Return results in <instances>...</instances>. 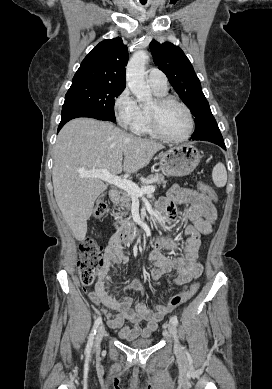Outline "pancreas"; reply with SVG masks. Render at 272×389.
I'll return each mask as SVG.
<instances>
[{
	"mask_svg": "<svg viewBox=\"0 0 272 389\" xmlns=\"http://www.w3.org/2000/svg\"><path fill=\"white\" fill-rule=\"evenodd\" d=\"M150 183H156L158 185H162L165 187L166 181L163 174L156 173L154 175L148 176L143 182V186H146ZM131 201L132 197L126 192L121 191L119 192V199L114 202L115 205H118L122 209H126L125 212H118L115 213L114 216L117 220V223L120 225L121 228H125L127 231H130L133 227V223L130 221V217L123 218V216L130 210L131 208Z\"/></svg>",
	"mask_w": 272,
	"mask_h": 389,
	"instance_id": "1",
	"label": "pancreas"
}]
</instances>
